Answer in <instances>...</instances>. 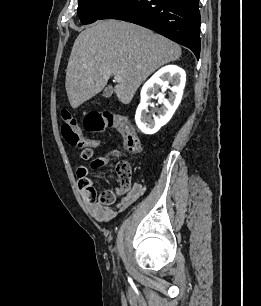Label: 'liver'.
<instances>
[{
    "mask_svg": "<svg viewBox=\"0 0 261 306\" xmlns=\"http://www.w3.org/2000/svg\"><path fill=\"white\" fill-rule=\"evenodd\" d=\"M173 41L139 25L99 21L76 38L69 57L65 88L73 109L98 94L112 75L122 80L115 93L129 104L139 86L158 68L179 59Z\"/></svg>",
    "mask_w": 261,
    "mask_h": 306,
    "instance_id": "liver-1",
    "label": "liver"
}]
</instances>
